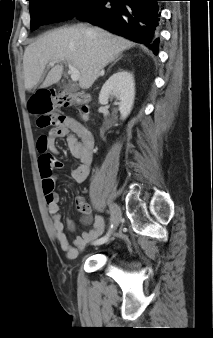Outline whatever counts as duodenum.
I'll return each mask as SVG.
<instances>
[{
    "label": "duodenum",
    "mask_w": 213,
    "mask_h": 338,
    "mask_svg": "<svg viewBox=\"0 0 213 338\" xmlns=\"http://www.w3.org/2000/svg\"><path fill=\"white\" fill-rule=\"evenodd\" d=\"M80 116L84 120H88L89 119V113L86 110H81L80 111Z\"/></svg>",
    "instance_id": "obj_1"
}]
</instances>
